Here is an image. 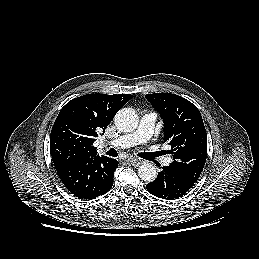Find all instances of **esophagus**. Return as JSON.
I'll return each mask as SVG.
<instances>
[{"label":"esophagus","instance_id":"34e87169","mask_svg":"<svg viewBox=\"0 0 259 259\" xmlns=\"http://www.w3.org/2000/svg\"><path fill=\"white\" fill-rule=\"evenodd\" d=\"M127 162L133 166H139L141 164V161L135 157H130Z\"/></svg>","mask_w":259,"mask_h":259}]
</instances>
